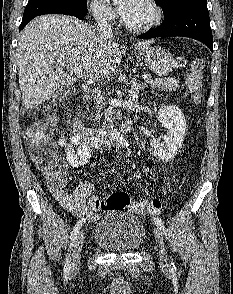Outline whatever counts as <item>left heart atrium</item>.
Masks as SVG:
<instances>
[{
    "label": "left heart atrium",
    "instance_id": "1",
    "mask_svg": "<svg viewBox=\"0 0 233 294\" xmlns=\"http://www.w3.org/2000/svg\"><path fill=\"white\" fill-rule=\"evenodd\" d=\"M140 0H117L116 7L119 14L126 19L137 7Z\"/></svg>",
    "mask_w": 233,
    "mask_h": 294
}]
</instances>
